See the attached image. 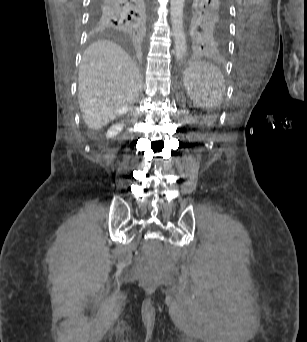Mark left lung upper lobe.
<instances>
[{"label":"left lung upper lobe","instance_id":"obj_1","mask_svg":"<svg viewBox=\"0 0 307 342\" xmlns=\"http://www.w3.org/2000/svg\"><path fill=\"white\" fill-rule=\"evenodd\" d=\"M188 21L193 45L222 53L228 39L227 0H190Z\"/></svg>","mask_w":307,"mask_h":342}]
</instances>
